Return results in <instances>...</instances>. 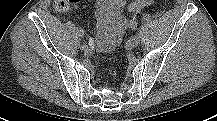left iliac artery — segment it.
Wrapping results in <instances>:
<instances>
[{
  "label": "left iliac artery",
  "instance_id": "1",
  "mask_svg": "<svg viewBox=\"0 0 217 121\" xmlns=\"http://www.w3.org/2000/svg\"><path fill=\"white\" fill-rule=\"evenodd\" d=\"M142 21L143 22H150L151 21V16L149 14H144L142 16Z\"/></svg>",
  "mask_w": 217,
  "mask_h": 121
}]
</instances>
